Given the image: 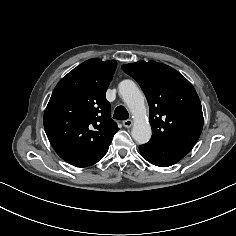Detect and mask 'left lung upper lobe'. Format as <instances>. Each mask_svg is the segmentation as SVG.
<instances>
[{
  "label": "left lung upper lobe",
  "mask_w": 236,
  "mask_h": 236,
  "mask_svg": "<svg viewBox=\"0 0 236 236\" xmlns=\"http://www.w3.org/2000/svg\"><path fill=\"white\" fill-rule=\"evenodd\" d=\"M121 67L147 98L152 127L149 143L195 144L202 132L203 113L192 84L175 69L155 61Z\"/></svg>",
  "instance_id": "5c2ea615"
}]
</instances>
